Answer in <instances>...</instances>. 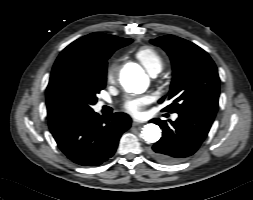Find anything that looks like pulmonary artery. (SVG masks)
I'll return each instance as SVG.
<instances>
[{
	"mask_svg": "<svg viewBox=\"0 0 253 200\" xmlns=\"http://www.w3.org/2000/svg\"><path fill=\"white\" fill-rule=\"evenodd\" d=\"M103 104H104L103 102H100V103H99V107H102V106H103ZM172 118H173V119H176V118H177V115H173V117H172Z\"/></svg>",
	"mask_w": 253,
	"mask_h": 200,
	"instance_id": "pulmonary-artery-1",
	"label": "pulmonary artery"
}]
</instances>
